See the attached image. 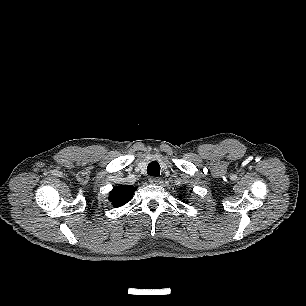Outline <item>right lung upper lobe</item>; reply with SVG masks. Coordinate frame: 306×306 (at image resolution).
Returning <instances> with one entry per match:
<instances>
[{
    "label": "right lung upper lobe",
    "mask_w": 306,
    "mask_h": 306,
    "mask_svg": "<svg viewBox=\"0 0 306 306\" xmlns=\"http://www.w3.org/2000/svg\"><path fill=\"white\" fill-rule=\"evenodd\" d=\"M136 188L128 185H120L110 192L109 200L117 208L129 202Z\"/></svg>",
    "instance_id": "right-lung-upper-lobe-1"
}]
</instances>
